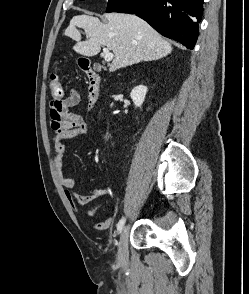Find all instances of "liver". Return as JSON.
Masks as SVG:
<instances>
[{"instance_id":"obj_1","label":"liver","mask_w":249,"mask_h":294,"mask_svg":"<svg viewBox=\"0 0 249 294\" xmlns=\"http://www.w3.org/2000/svg\"><path fill=\"white\" fill-rule=\"evenodd\" d=\"M107 23L90 15H78L71 19L65 36L76 41L73 49L78 54L92 57L105 45L113 51L111 72L142 61L161 59L172 51V46L148 23L135 15L111 13L106 15ZM85 31L87 39L81 41Z\"/></svg>"}]
</instances>
